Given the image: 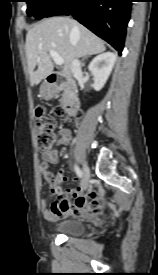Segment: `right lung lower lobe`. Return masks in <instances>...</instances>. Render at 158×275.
I'll use <instances>...</instances> for the list:
<instances>
[{"instance_id": "obj_1", "label": "right lung lower lobe", "mask_w": 158, "mask_h": 275, "mask_svg": "<svg viewBox=\"0 0 158 275\" xmlns=\"http://www.w3.org/2000/svg\"><path fill=\"white\" fill-rule=\"evenodd\" d=\"M132 0H63L45 17L70 15L110 43L121 55Z\"/></svg>"}]
</instances>
